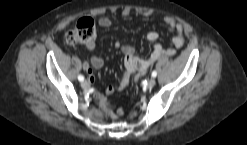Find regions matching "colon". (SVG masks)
<instances>
[{"instance_id": "1", "label": "colon", "mask_w": 247, "mask_h": 145, "mask_svg": "<svg viewBox=\"0 0 247 145\" xmlns=\"http://www.w3.org/2000/svg\"><path fill=\"white\" fill-rule=\"evenodd\" d=\"M95 36V22L91 18L85 17L80 19L77 24L66 33L65 39L66 42L71 45H87L93 42Z\"/></svg>"}]
</instances>
